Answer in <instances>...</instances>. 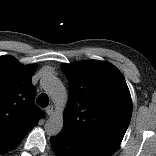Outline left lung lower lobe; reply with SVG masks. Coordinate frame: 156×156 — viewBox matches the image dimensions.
Here are the masks:
<instances>
[{"label":"left lung lower lobe","mask_w":156,"mask_h":156,"mask_svg":"<svg viewBox=\"0 0 156 156\" xmlns=\"http://www.w3.org/2000/svg\"><path fill=\"white\" fill-rule=\"evenodd\" d=\"M51 147L57 156H111L112 153L91 145L86 142L78 141L59 133L51 137Z\"/></svg>","instance_id":"0a47b994"}]
</instances>
